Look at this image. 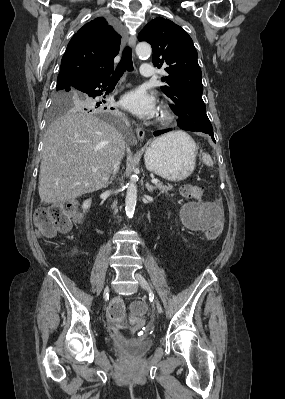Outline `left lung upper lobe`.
I'll list each match as a JSON object with an SVG mask.
<instances>
[{
	"label": "left lung upper lobe",
	"instance_id": "obj_1",
	"mask_svg": "<svg viewBox=\"0 0 285 399\" xmlns=\"http://www.w3.org/2000/svg\"><path fill=\"white\" fill-rule=\"evenodd\" d=\"M153 49V64L165 67L166 83L161 90L172 102V110L179 116L178 125L183 130L213 136V128L202 100V74L197 61V51L191 37L171 20L161 17L148 23L138 35Z\"/></svg>",
	"mask_w": 285,
	"mask_h": 399
}]
</instances>
